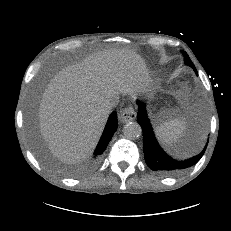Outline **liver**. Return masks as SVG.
Instances as JSON below:
<instances>
[{
    "label": "liver",
    "mask_w": 231,
    "mask_h": 231,
    "mask_svg": "<svg viewBox=\"0 0 231 231\" xmlns=\"http://www.w3.org/2000/svg\"><path fill=\"white\" fill-rule=\"evenodd\" d=\"M151 83L144 59L122 48L98 51L66 67L40 101V133L52 154L67 163L89 158L106 125L107 101L145 92Z\"/></svg>",
    "instance_id": "6515ba94"
}]
</instances>
